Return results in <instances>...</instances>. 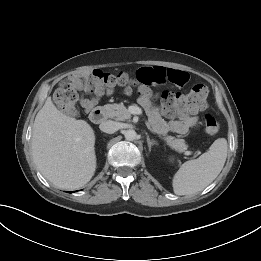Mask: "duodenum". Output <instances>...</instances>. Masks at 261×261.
<instances>
[{
	"label": "duodenum",
	"mask_w": 261,
	"mask_h": 261,
	"mask_svg": "<svg viewBox=\"0 0 261 261\" xmlns=\"http://www.w3.org/2000/svg\"><path fill=\"white\" fill-rule=\"evenodd\" d=\"M89 118L95 124L102 123L105 120V110L102 107H94L89 114Z\"/></svg>",
	"instance_id": "1"
}]
</instances>
